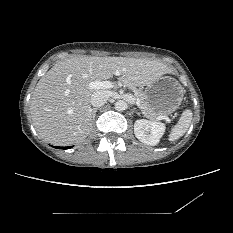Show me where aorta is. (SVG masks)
Listing matches in <instances>:
<instances>
[{
	"mask_svg": "<svg viewBox=\"0 0 233 233\" xmlns=\"http://www.w3.org/2000/svg\"><path fill=\"white\" fill-rule=\"evenodd\" d=\"M127 108V103L124 100H118L115 103V109L117 111H123Z\"/></svg>",
	"mask_w": 233,
	"mask_h": 233,
	"instance_id": "1",
	"label": "aorta"
}]
</instances>
